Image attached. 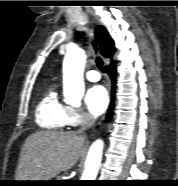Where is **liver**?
I'll return each instance as SVG.
<instances>
[{
  "label": "liver",
  "mask_w": 178,
  "mask_h": 186,
  "mask_svg": "<svg viewBox=\"0 0 178 186\" xmlns=\"http://www.w3.org/2000/svg\"><path fill=\"white\" fill-rule=\"evenodd\" d=\"M76 131H39L25 141L16 171L17 181H46L73 167L84 149Z\"/></svg>",
  "instance_id": "1"
}]
</instances>
